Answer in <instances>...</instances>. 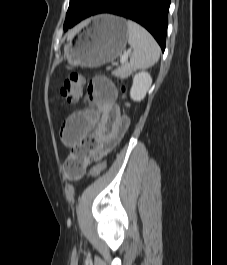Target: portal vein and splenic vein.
Instances as JSON below:
<instances>
[{"label":"portal vein and splenic vein","mask_w":227,"mask_h":265,"mask_svg":"<svg viewBox=\"0 0 227 265\" xmlns=\"http://www.w3.org/2000/svg\"><path fill=\"white\" fill-rule=\"evenodd\" d=\"M130 51L124 52L120 58V63L123 64L127 61Z\"/></svg>","instance_id":"portal-vein-and-splenic-vein-1"}]
</instances>
